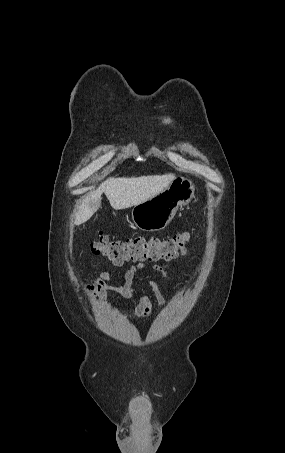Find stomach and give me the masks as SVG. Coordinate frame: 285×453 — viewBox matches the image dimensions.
<instances>
[{"instance_id": "stomach-1", "label": "stomach", "mask_w": 285, "mask_h": 453, "mask_svg": "<svg viewBox=\"0 0 285 453\" xmlns=\"http://www.w3.org/2000/svg\"><path fill=\"white\" fill-rule=\"evenodd\" d=\"M191 181L175 177L168 187L132 209V220L143 231H160L167 227L179 207L189 204L192 198Z\"/></svg>"}]
</instances>
